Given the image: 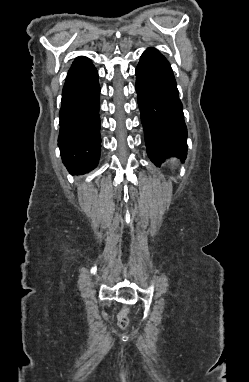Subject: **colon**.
Instances as JSON below:
<instances>
[{"instance_id":"1","label":"colon","mask_w":249,"mask_h":382,"mask_svg":"<svg viewBox=\"0 0 249 382\" xmlns=\"http://www.w3.org/2000/svg\"><path fill=\"white\" fill-rule=\"evenodd\" d=\"M128 310L126 308H124L118 315L117 317V324L124 328V327H127L128 324H129V319H128Z\"/></svg>"}]
</instances>
